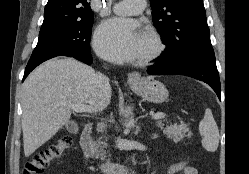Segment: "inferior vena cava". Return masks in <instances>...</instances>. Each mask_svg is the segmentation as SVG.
<instances>
[{
	"instance_id": "602c4592",
	"label": "inferior vena cava",
	"mask_w": 249,
	"mask_h": 174,
	"mask_svg": "<svg viewBox=\"0 0 249 174\" xmlns=\"http://www.w3.org/2000/svg\"><path fill=\"white\" fill-rule=\"evenodd\" d=\"M96 80H97V83H98V85L100 86L101 89H103L104 91L106 89H108V87H109V79H108V77H106L105 75H103L101 73H98L96 75Z\"/></svg>"
}]
</instances>
